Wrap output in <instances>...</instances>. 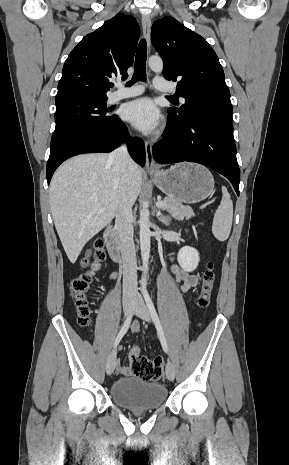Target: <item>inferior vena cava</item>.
<instances>
[{
	"mask_svg": "<svg viewBox=\"0 0 289 465\" xmlns=\"http://www.w3.org/2000/svg\"><path fill=\"white\" fill-rule=\"evenodd\" d=\"M125 144L109 154L108 161L113 164L114 170L124 175L130 162ZM133 214L132 205L123 201L118 208L115 226L118 230L121 255L123 263V300L135 299L138 295L137 287V260L133 240Z\"/></svg>",
	"mask_w": 289,
	"mask_h": 465,
	"instance_id": "1",
	"label": "inferior vena cava"
}]
</instances>
